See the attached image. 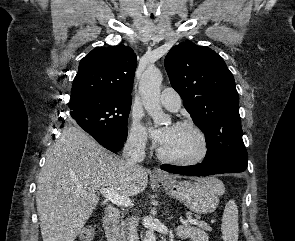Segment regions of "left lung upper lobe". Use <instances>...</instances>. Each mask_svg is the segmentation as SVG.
<instances>
[{
    "instance_id": "5c2ea615",
    "label": "left lung upper lobe",
    "mask_w": 295,
    "mask_h": 241,
    "mask_svg": "<svg viewBox=\"0 0 295 241\" xmlns=\"http://www.w3.org/2000/svg\"><path fill=\"white\" fill-rule=\"evenodd\" d=\"M165 68L172 87L206 137L204 161H229L247 166L242 140L239 95L223 58L190 41L174 46Z\"/></svg>"
}]
</instances>
